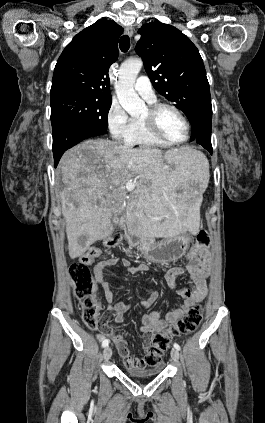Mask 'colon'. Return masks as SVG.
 <instances>
[{"label":"colon","mask_w":265,"mask_h":423,"mask_svg":"<svg viewBox=\"0 0 265 423\" xmlns=\"http://www.w3.org/2000/svg\"><path fill=\"white\" fill-rule=\"evenodd\" d=\"M208 239L207 233H199L190 254H198L207 248ZM121 240L122 235L116 234L103 242L101 246L89 249L78 261L73 262L69 267L74 294L81 300L83 305L82 318L84 323L89 328L100 330L104 333L111 332L109 321L112 314L104 310L98 298L89 266L105 249L118 245ZM202 316L203 308L200 305H196L164 332L156 333L153 337V344L147 348L145 357L137 363L136 367L153 368L158 366L162 355L169 348L171 340L192 333L200 325Z\"/></svg>","instance_id":"obj_1"}]
</instances>
